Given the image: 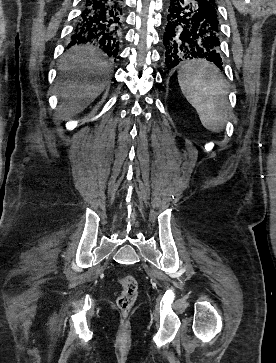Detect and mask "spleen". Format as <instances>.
Listing matches in <instances>:
<instances>
[{"mask_svg": "<svg viewBox=\"0 0 276 363\" xmlns=\"http://www.w3.org/2000/svg\"><path fill=\"white\" fill-rule=\"evenodd\" d=\"M178 82L187 101L196 109L202 125L220 132L228 115V87L218 68L205 60L186 62Z\"/></svg>", "mask_w": 276, "mask_h": 363, "instance_id": "spleen-1", "label": "spleen"}]
</instances>
